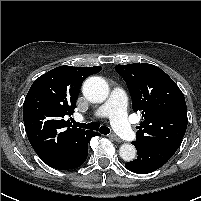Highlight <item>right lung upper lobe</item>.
<instances>
[{
  "label": "right lung upper lobe",
  "instance_id": "cb5924a9",
  "mask_svg": "<svg viewBox=\"0 0 201 201\" xmlns=\"http://www.w3.org/2000/svg\"><path fill=\"white\" fill-rule=\"evenodd\" d=\"M101 69L60 66L33 82L23 104V120L33 149L47 165L68 160L90 131L73 126L66 118L76 108L84 79Z\"/></svg>",
  "mask_w": 201,
  "mask_h": 201
}]
</instances>
